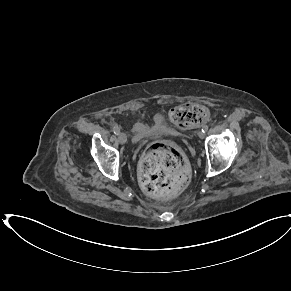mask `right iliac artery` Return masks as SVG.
<instances>
[{"instance_id": "1", "label": "right iliac artery", "mask_w": 291, "mask_h": 291, "mask_svg": "<svg viewBox=\"0 0 291 291\" xmlns=\"http://www.w3.org/2000/svg\"><path fill=\"white\" fill-rule=\"evenodd\" d=\"M113 132L118 135L120 133V128L118 126L113 127Z\"/></svg>"}]
</instances>
